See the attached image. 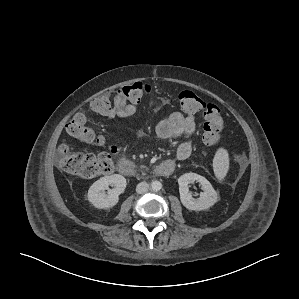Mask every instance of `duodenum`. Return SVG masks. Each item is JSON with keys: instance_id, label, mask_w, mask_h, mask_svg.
Returning <instances> with one entry per match:
<instances>
[{"instance_id": "obj_1", "label": "duodenum", "mask_w": 299, "mask_h": 299, "mask_svg": "<svg viewBox=\"0 0 299 299\" xmlns=\"http://www.w3.org/2000/svg\"><path fill=\"white\" fill-rule=\"evenodd\" d=\"M175 165L172 161H164L154 167V173L159 176H169L173 173ZM118 171L126 176L136 174V169L133 163L127 159H122L118 163Z\"/></svg>"}]
</instances>
